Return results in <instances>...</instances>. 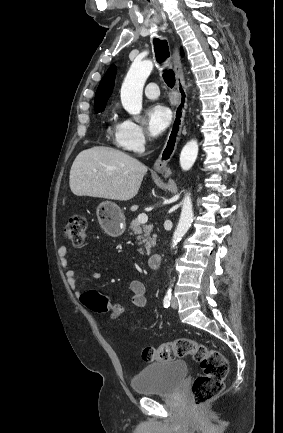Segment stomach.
<instances>
[{
    "mask_svg": "<svg viewBox=\"0 0 283 433\" xmlns=\"http://www.w3.org/2000/svg\"><path fill=\"white\" fill-rule=\"evenodd\" d=\"M97 217L99 223H102L105 233L110 237H119L126 229L124 214L115 202L105 200L97 206Z\"/></svg>",
    "mask_w": 283,
    "mask_h": 433,
    "instance_id": "obj_1",
    "label": "stomach"
}]
</instances>
